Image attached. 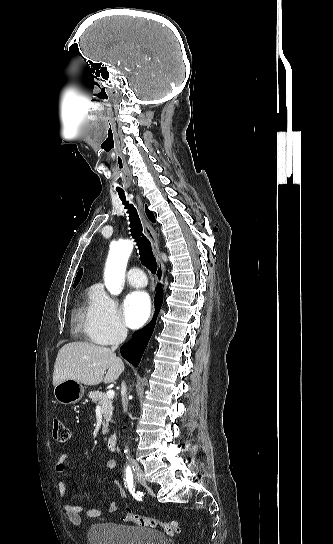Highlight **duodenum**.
Returning <instances> with one entry per match:
<instances>
[{"label":"duodenum","mask_w":333,"mask_h":544,"mask_svg":"<svg viewBox=\"0 0 333 544\" xmlns=\"http://www.w3.org/2000/svg\"><path fill=\"white\" fill-rule=\"evenodd\" d=\"M117 443H118V438L116 435H111L109 436L108 440H107V448L110 452H115L117 450Z\"/></svg>","instance_id":"1"}]
</instances>
